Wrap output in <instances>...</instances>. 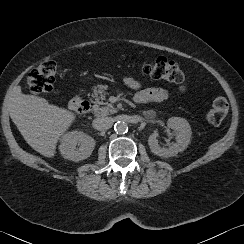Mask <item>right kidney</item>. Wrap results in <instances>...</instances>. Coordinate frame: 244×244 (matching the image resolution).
Wrapping results in <instances>:
<instances>
[{
	"label": "right kidney",
	"mask_w": 244,
	"mask_h": 244,
	"mask_svg": "<svg viewBox=\"0 0 244 244\" xmlns=\"http://www.w3.org/2000/svg\"><path fill=\"white\" fill-rule=\"evenodd\" d=\"M60 142L61 155L75 162L88 158L95 147V140L91 136L77 130L64 134Z\"/></svg>",
	"instance_id": "right-kidney-1"
}]
</instances>
